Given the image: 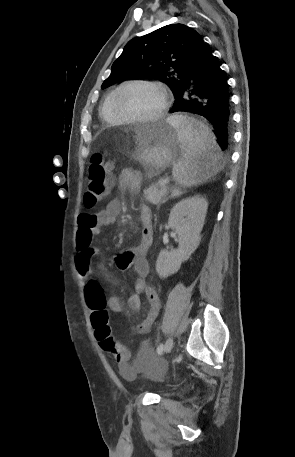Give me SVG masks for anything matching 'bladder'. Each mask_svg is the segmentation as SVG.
<instances>
[{"instance_id":"1","label":"bladder","mask_w":295,"mask_h":457,"mask_svg":"<svg viewBox=\"0 0 295 457\" xmlns=\"http://www.w3.org/2000/svg\"><path fill=\"white\" fill-rule=\"evenodd\" d=\"M139 350H143L144 355L141 357L144 358V360L136 361L137 369H154V372L150 374V376L153 378H157L159 375L166 374L168 376L175 373V368L170 366V363L167 367H165L167 365L166 363H164V366H162L161 360L157 357L155 352H152V347L150 345H145L143 349L140 348ZM130 361L132 362L133 360L131 359ZM121 374L125 379L132 381L136 378L137 371L132 366H122Z\"/></svg>"}]
</instances>
